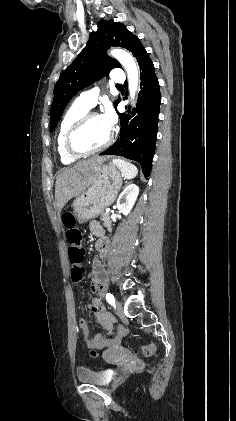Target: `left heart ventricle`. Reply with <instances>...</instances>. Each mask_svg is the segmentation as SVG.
<instances>
[{
  "label": "left heart ventricle",
  "mask_w": 236,
  "mask_h": 421,
  "mask_svg": "<svg viewBox=\"0 0 236 421\" xmlns=\"http://www.w3.org/2000/svg\"><path fill=\"white\" fill-rule=\"evenodd\" d=\"M110 130L106 127L101 117L88 119L76 135V146L87 151L101 145L108 137Z\"/></svg>",
  "instance_id": "1"
}]
</instances>
